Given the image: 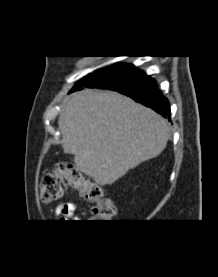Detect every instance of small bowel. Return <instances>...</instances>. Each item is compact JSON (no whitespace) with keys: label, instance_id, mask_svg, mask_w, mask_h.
<instances>
[{"label":"small bowel","instance_id":"1","mask_svg":"<svg viewBox=\"0 0 218 277\" xmlns=\"http://www.w3.org/2000/svg\"><path fill=\"white\" fill-rule=\"evenodd\" d=\"M76 205L73 202H63L54 211V217L61 222H76L69 220H78L76 215Z\"/></svg>","mask_w":218,"mask_h":277}]
</instances>
